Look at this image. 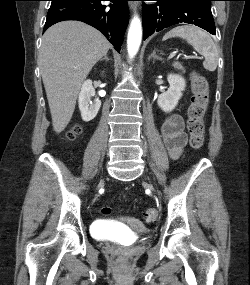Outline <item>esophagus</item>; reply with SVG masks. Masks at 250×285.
I'll return each mask as SVG.
<instances>
[{
    "mask_svg": "<svg viewBox=\"0 0 250 285\" xmlns=\"http://www.w3.org/2000/svg\"><path fill=\"white\" fill-rule=\"evenodd\" d=\"M132 7H133L132 4H130V9H131Z\"/></svg>",
    "mask_w": 250,
    "mask_h": 285,
    "instance_id": "1",
    "label": "esophagus"
}]
</instances>
